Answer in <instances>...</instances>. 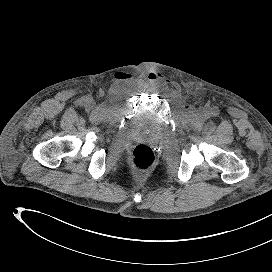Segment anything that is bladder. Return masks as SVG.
Instances as JSON below:
<instances>
[{"label":"bladder","mask_w":272,"mask_h":272,"mask_svg":"<svg viewBox=\"0 0 272 272\" xmlns=\"http://www.w3.org/2000/svg\"><path fill=\"white\" fill-rule=\"evenodd\" d=\"M145 129L150 136L156 137L159 134L158 128L154 125H147Z\"/></svg>","instance_id":"obj_1"}]
</instances>
